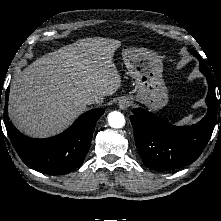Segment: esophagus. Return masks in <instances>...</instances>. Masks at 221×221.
<instances>
[{
  "label": "esophagus",
  "instance_id": "obj_1",
  "mask_svg": "<svg viewBox=\"0 0 221 221\" xmlns=\"http://www.w3.org/2000/svg\"><path fill=\"white\" fill-rule=\"evenodd\" d=\"M131 105V101L129 98L127 97H123L119 100L118 102V107L121 109V110H125L127 109L129 106Z\"/></svg>",
  "mask_w": 221,
  "mask_h": 221
}]
</instances>
